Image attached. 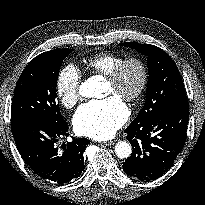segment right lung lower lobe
<instances>
[{
    "label": "right lung lower lobe",
    "mask_w": 205,
    "mask_h": 205,
    "mask_svg": "<svg viewBox=\"0 0 205 205\" xmlns=\"http://www.w3.org/2000/svg\"><path fill=\"white\" fill-rule=\"evenodd\" d=\"M12 134L19 153L29 168L42 179L63 184L77 178L84 170L83 152L90 143L73 139L57 147L58 139L68 136L66 122L53 124L37 118L11 119Z\"/></svg>",
    "instance_id": "obj_1"
}]
</instances>
